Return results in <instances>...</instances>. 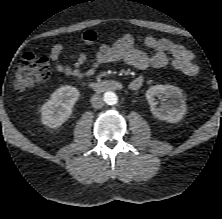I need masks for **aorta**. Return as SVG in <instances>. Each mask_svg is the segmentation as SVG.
<instances>
[{
	"instance_id": "1",
	"label": "aorta",
	"mask_w": 222,
	"mask_h": 219,
	"mask_svg": "<svg viewBox=\"0 0 222 219\" xmlns=\"http://www.w3.org/2000/svg\"><path fill=\"white\" fill-rule=\"evenodd\" d=\"M104 101L108 105H115L118 101V98L114 92L108 91L104 94Z\"/></svg>"
}]
</instances>
